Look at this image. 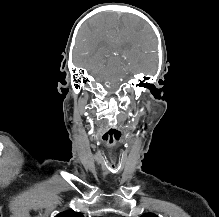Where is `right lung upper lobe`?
Wrapping results in <instances>:
<instances>
[{
  "instance_id": "cb5924a9",
  "label": "right lung upper lobe",
  "mask_w": 219,
  "mask_h": 217,
  "mask_svg": "<svg viewBox=\"0 0 219 217\" xmlns=\"http://www.w3.org/2000/svg\"><path fill=\"white\" fill-rule=\"evenodd\" d=\"M55 217H83V215L75 211H65V212L59 213Z\"/></svg>"
}]
</instances>
